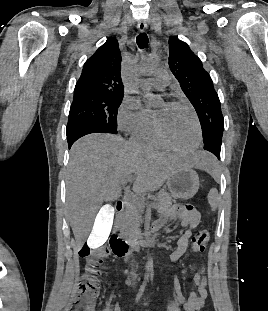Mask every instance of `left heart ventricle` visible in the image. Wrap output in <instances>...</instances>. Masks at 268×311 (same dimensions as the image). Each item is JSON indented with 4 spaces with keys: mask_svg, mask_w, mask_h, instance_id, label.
Instances as JSON below:
<instances>
[{
    "mask_svg": "<svg viewBox=\"0 0 268 311\" xmlns=\"http://www.w3.org/2000/svg\"><path fill=\"white\" fill-rule=\"evenodd\" d=\"M154 115L158 119L165 138L174 146L188 149L197 138L195 122L185 109L163 103L157 107Z\"/></svg>",
    "mask_w": 268,
    "mask_h": 311,
    "instance_id": "obj_1",
    "label": "left heart ventricle"
}]
</instances>
